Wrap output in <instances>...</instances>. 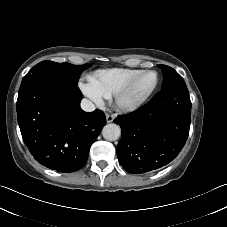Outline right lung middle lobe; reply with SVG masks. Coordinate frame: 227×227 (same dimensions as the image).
<instances>
[{"label":"right lung middle lobe","mask_w":227,"mask_h":227,"mask_svg":"<svg viewBox=\"0 0 227 227\" xmlns=\"http://www.w3.org/2000/svg\"><path fill=\"white\" fill-rule=\"evenodd\" d=\"M91 67V64L81 66L69 63H57L53 61H42L35 65L23 78L22 83L36 77L49 76L60 78L69 83L77 85L81 72Z\"/></svg>","instance_id":"right-lung-middle-lobe-1"}]
</instances>
